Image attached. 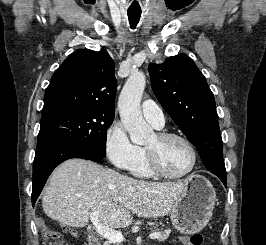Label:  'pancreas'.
I'll list each match as a JSON object with an SVG mask.
<instances>
[{"instance_id":"1","label":"pancreas","mask_w":266,"mask_h":245,"mask_svg":"<svg viewBox=\"0 0 266 245\" xmlns=\"http://www.w3.org/2000/svg\"><path fill=\"white\" fill-rule=\"evenodd\" d=\"M153 233H158V239L157 241H160V243H163V241H166L170 235V231H162V229H155Z\"/></svg>"}]
</instances>
